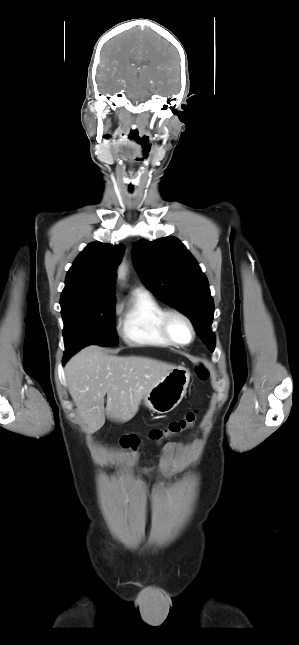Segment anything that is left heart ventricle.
I'll use <instances>...</instances> for the list:
<instances>
[{
  "label": "left heart ventricle",
  "instance_id": "obj_1",
  "mask_svg": "<svg viewBox=\"0 0 299 645\" xmlns=\"http://www.w3.org/2000/svg\"><path fill=\"white\" fill-rule=\"evenodd\" d=\"M170 329L177 340L186 342L190 339L189 327L183 320L174 318L170 323Z\"/></svg>",
  "mask_w": 299,
  "mask_h": 645
}]
</instances>
